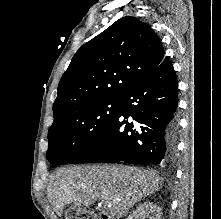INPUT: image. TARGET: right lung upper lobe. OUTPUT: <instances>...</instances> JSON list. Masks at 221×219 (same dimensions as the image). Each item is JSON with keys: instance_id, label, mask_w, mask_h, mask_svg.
Listing matches in <instances>:
<instances>
[{"instance_id": "obj_1", "label": "right lung upper lobe", "mask_w": 221, "mask_h": 219, "mask_svg": "<svg viewBox=\"0 0 221 219\" xmlns=\"http://www.w3.org/2000/svg\"><path fill=\"white\" fill-rule=\"evenodd\" d=\"M153 29L126 16L84 44L63 74L53 105L54 120L101 99H118L164 60Z\"/></svg>"}]
</instances>
